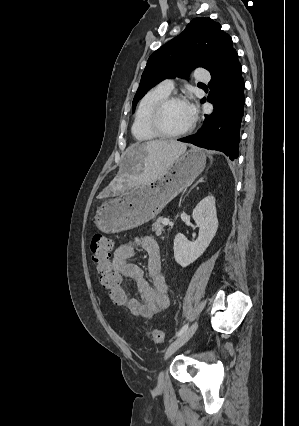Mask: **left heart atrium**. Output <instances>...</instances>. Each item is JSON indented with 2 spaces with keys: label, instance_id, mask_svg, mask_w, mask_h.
<instances>
[{
  "label": "left heart atrium",
  "instance_id": "left-heart-atrium-1",
  "mask_svg": "<svg viewBox=\"0 0 299 426\" xmlns=\"http://www.w3.org/2000/svg\"><path fill=\"white\" fill-rule=\"evenodd\" d=\"M187 106H188V110H189V113H190L191 120H194V118L196 116V108L193 104H190V103H187Z\"/></svg>",
  "mask_w": 299,
  "mask_h": 426
}]
</instances>
